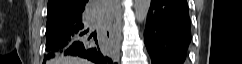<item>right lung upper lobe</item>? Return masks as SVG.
<instances>
[{"label":"right lung upper lobe","instance_id":"1","mask_svg":"<svg viewBox=\"0 0 242 64\" xmlns=\"http://www.w3.org/2000/svg\"><path fill=\"white\" fill-rule=\"evenodd\" d=\"M87 0H48V13L76 11L83 8Z\"/></svg>","mask_w":242,"mask_h":64}]
</instances>
